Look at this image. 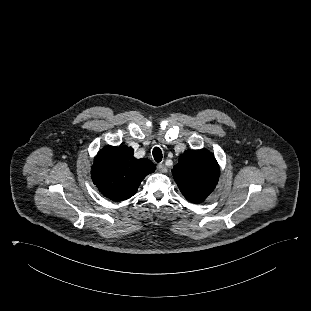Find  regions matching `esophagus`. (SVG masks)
<instances>
[{"mask_svg":"<svg viewBox=\"0 0 311 311\" xmlns=\"http://www.w3.org/2000/svg\"><path fill=\"white\" fill-rule=\"evenodd\" d=\"M157 169L162 173L167 172V167L163 163L158 164Z\"/></svg>","mask_w":311,"mask_h":311,"instance_id":"34e87169","label":"esophagus"}]
</instances>
